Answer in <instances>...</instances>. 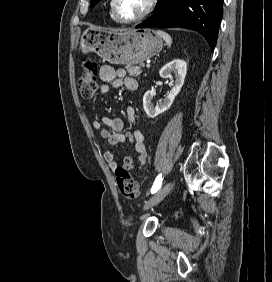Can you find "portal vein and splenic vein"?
Masks as SVG:
<instances>
[{"label":"portal vein and splenic vein","instance_id":"1","mask_svg":"<svg viewBox=\"0 0 272 282\" xmlns=\"http://www.w3.org/2000/svg\"><path fill=\"white\" fill-rule=\"evenodd\" d=\"M150 66H151L150 64H147V65H146V68H148V69H149V68H150Z\"/></svg>","mask_w":272,"mask_h":282}]
</instances>
